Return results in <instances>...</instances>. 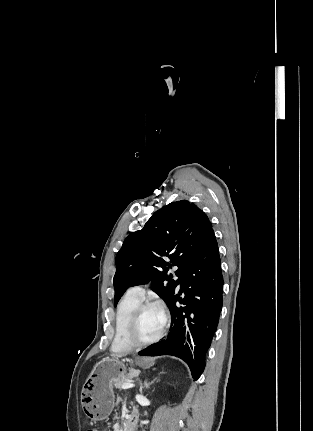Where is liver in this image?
Wrapping results in <instances>:
<instances>
[{"instance_id":"liver-1","label":"liver","mask_w":313,"mask_h":431,"mask_svg":"<svg viewBox=\"0 0 313 431\" xmlns=\"http://www.w3.org/2000/svg\"><path fill=\"white\" fill-rule=\"evenodd\" d=\"M113 358H118V357H122L124 356L123 354H112L111 355Z\"/></svg>"}]
</instances>
